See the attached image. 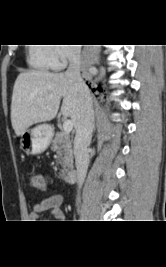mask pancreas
Returning <instances> with one entry per match:
<instances>
[{
    "label": "pancreas",
    "mask_w": 166,
    "mask_h": 267,
    "mask_svg": "<svg viewBox=\"0 0 166 267\" xmlns=\"http://www.w3.org/2000/svg\"><path fill=\"white\" fill-rule=\"evenodd\" d=\"M51 149L57 153V163L60 164V174L62 177L73 168L72 141L68 134L57 132L52 141Z\"/></svg>",
    "instance_id": "obj_1"
}]
</instances>
